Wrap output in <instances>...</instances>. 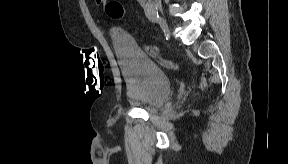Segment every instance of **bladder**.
<instances>
[{
	"instance_id": "31cf9c89",
	"label": "bladder",
	"mask_w": 288,
	"mask_h": 164,
	"mask_svg": "<svg viewBox=\"0 0 288 164\" xmlns=\"http://www.w3.org/2000/svg\"><path fill=\"white\" fill-rule=\"evenodd\" d=\"M113 41L130 101L147 112H154L165 106L171 99V82L165 71L150 62L124 36L115 34Z\"/></svg>"
}]
</instances>
